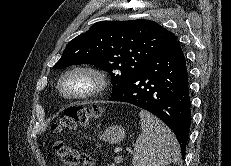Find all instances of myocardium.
Listing matches in <instances>:
<instances>
[{
	"mask_svg": "<svg viewBox=\"0 0 231 166\" xmlns=\"http://www.w3.org/2000/svg\"><path fill=\"white\" fill-rule=\"evenodd\" d=\"M85 76L90 85L87 89L78 92H68L64 89L65 81L74 76ZM110 81L106 72L102 69L87 64L75 65L64 70L57 80L58 94L66 100H85L102 95L107 91Z\"/></svg>",
	"mask_w": 231,
	"mask_h": 166,
	"instance_id": "f54148a6",
	"label": "myocardium"
}]
</instances>
